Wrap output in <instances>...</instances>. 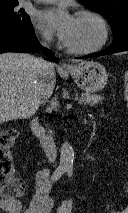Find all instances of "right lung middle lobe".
Here are the masks:
<instances>
[{
    "label": "right lung middle lobe",
    "mask_w": 128,
    "mask_h": 213,
    "mask_svg": "<svg viewBox=\"0 0 128 213\" xmlns=\"http://www.w3.org/2000/svg\"><path fill=\"white\" fill-rule=\"evenodd\" d=\"M18 4L0 6V30L26 29L32 26L30 17Z\"/></svg>",
    "instance_id": "obj_1"
}]
</instances>
